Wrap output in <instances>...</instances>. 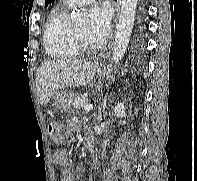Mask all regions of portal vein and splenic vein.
<instances>
[{"label": "portal vein and splenic vein", "mask_w": 197, "mask_h": 181, "mask_svg": "<svg viewBox=\"0 0 197 181\" xmlns=\"http://www.w3.org/2000/svg\"><path fill=\"white\" fill-rule=\"evenodd\" d=\"M93 109V104H88V105H85L84 106V110L86 111V112H89V111H91Z\"/></svg>", "instance_id": "1"}]
</instances>
